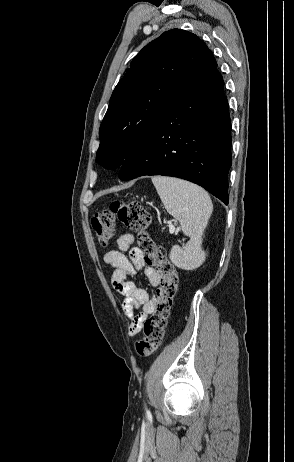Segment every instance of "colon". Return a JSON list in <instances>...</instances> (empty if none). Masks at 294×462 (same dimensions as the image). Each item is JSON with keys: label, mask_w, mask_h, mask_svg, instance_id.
<instances>
[{"label": "colon", "mask_w": 294, "mask_h": 462, "mask_svg": "<svg viewBox=\"0 0 294 462\" xmlns=\"http://www.w3.org/2000/svg\"><path fill=\"white\" fill-rule=\"evenodd\" d=\"M117 220L139 234V246L144 264L151 267L158 278L154 310L144 321L143 339L135 344L137 354L148 357L155 353L163 342L177 292L178 276L175 268L168 261L164 248L147 234L151 216L139 202H114L109 208L94 214L91 225L101 246H107L111 241Z\"/></svg>", "instance_id": "colon-1"}]
</instances>
